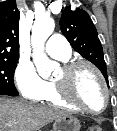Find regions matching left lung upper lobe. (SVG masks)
Wrapping results in <instances>:
<instances>
[{
    "label": "left lung upper lobe",
    "mask_w": 117,
    "mask_h": 131,
    "mask_svg": "<svg viewBox=\"0 0 117 131\" xmlns=\"http://www.w3.org/2000/svg\"><path fill=\"white\" fill-rule=\"evenodd\" d=\"M60 28L73 49L99 68L108 83L103 49L88 13L82 9L73 10L71 6H67L60 19Z\"/></svg>",
    "instance_id": "5c2ea615"
}]
</instances>
